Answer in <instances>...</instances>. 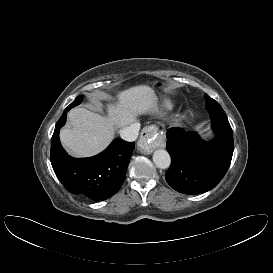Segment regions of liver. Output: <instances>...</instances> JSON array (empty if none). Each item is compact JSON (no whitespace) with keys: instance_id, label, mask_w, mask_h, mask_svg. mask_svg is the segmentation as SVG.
<instances>
[{"instance_id":"obj_1","label":"liver","mask_w":273,"mask_h":273,"mask_svg":"<svg viewBox=\"0 0 273 273\" xmlns=\"http://www.w3.org/2000/svg\"><path fill=\"white\" fill-rule=\"evenodd\" d=\"M117 103H108L107 116L85 108L68 113L71 128L60 131L62 144L76 157H90L103 151L113 140L117 128L129 126L137 116L154 111L158 98L146 85L134 86L116 96ZM104 99L111 98L104 96Z\"/></svg>"}]
</instances>
